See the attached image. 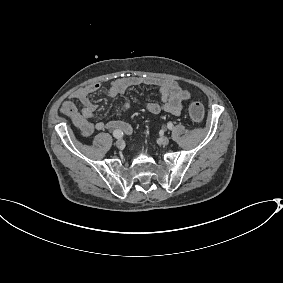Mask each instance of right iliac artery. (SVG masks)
I'll list each match as a JSON object with an SVG mask.
<instances>
[{"mask_svg":"<svg viewBox=\"0 0 283 283\" xmlns=\"http://www.w3.org/2000/svg\"><path fill=\"white\" fill-rule=\"evenodd\" d=\"M113 136H114L115 138H121V137L123 136V132H122L121 130H115V131L113 132Z\"/></svg>","mask_w":283,"mask_h":283,"instance_id":"obj_1","label":"right iliac artery"}]
</instances>
